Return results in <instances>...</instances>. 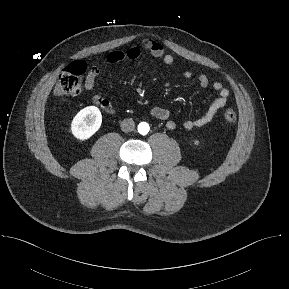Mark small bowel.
<instances>
[{
  "label": "small bowel",
  "instance_id": "c3829d8e",
  "mask_svg": "<svg viewBox=\"0 0 289 289\" xmlns=\"http://www.w3.org/2000/svg\"><path fill=\"white\" fill-rule=\"evenodd\" d=\"M142 50L150 53L155 58L161 59L166 65H172L174 63V57L171 54L165 52L162 44L152 39H146L142 43L141 48L138 46H132L124 51L116 50L110 52L107 55V62L110 64H115L124 60H135L139 58ZM100 72L101 69L98 65H94L89 69L85 78V89H93L95 81L100 75ZM183 76L189 79L192 77V73L189 70H185L183 72ZM197 81L202 88H206L211 85V87L218 93V97L213 100V102L209 105L208 109L202 116L196 119L185 120L183 126L186 129L202 127L210 123L216 116L218 111L226 106L229 97V90L225 88L221 82L214 81L210 83L209 78L205 74L198 75ZM92 101L94 104H96L108 113L112 114L116 112L113 104L101 95H93ZM149 112L154 118L165 121L166 127L169 130H174L176 128V123L170 118V112L166 108L160 106H153L150 108Z\"/></svg>",
  "mask_w": 289,
  "mask_h": 289
}]
</instances>
